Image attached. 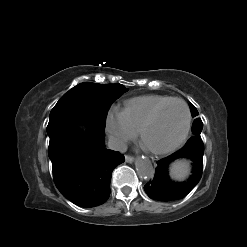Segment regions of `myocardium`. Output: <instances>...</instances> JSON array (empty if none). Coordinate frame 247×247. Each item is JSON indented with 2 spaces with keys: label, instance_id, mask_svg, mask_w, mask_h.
Instances as JSON below:
<instances>
[{
  "label": "myocardium",
  "instance_id": "1",
  "mask_svg": "<svg viewBox=\"0 0 247 247\" xmlns=\"http://www.w3.org/2000/svg\"><path fill=\"white\" fill-rule=\"evenodd\" d=\"M173 102L181 103L184 106L185 112H186V123H185V128H184V131H183L181 137L174 144H172L168 147H165V148L154 149V148H150V147L146 146L144 143L145 132L156 121L160 112L167 105H169L170 103H173ZM191 122H192V115H191V111H190L188 104L181 98H170V99L166 100L165 102L161 103L160 105H158L153 110V112L150 114V116L145 120V122L142 124V126L140 127V129L138 131L140 141L145 146V148L154 155L160 156V155L169 154V153L177 150L185 142V140L187 139L189 132H190Z\"/></svg>",
  "mask_w": 247,
  "mask_h": 247
}]
</instances>
